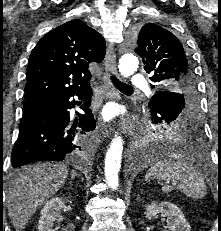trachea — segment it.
<instances>
[{"mask_svg":"<svg viewBox=\"0 0 221 231\" xmlns=\"http://www.w3.org/2000/svg\"><path fill=\"white\" fill-rule=\"evenodd\" d=\"M112 83L120 90H133L131 86L120 82L116 77L111 76Z\"/></svg>","mask_w":221,"mask_h":231,"instance_id":"1","label":"trachea"}]
</instances>
